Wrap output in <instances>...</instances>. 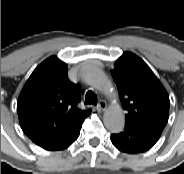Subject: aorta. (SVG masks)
Returning <instances> with one entry per match:
<instances>
[{
	"mask_svg": "<svg viewBox=\"0 0 184 174\" xmlns=\"http://www.w3.org/2000/svg\"><path fill=\"white\" fill-rule=\"evenodd\" d=\"M88 82L93 87L105 92L108 95H115V90L105 73L97 68H92L88 73ZM104 125L108 130L118 133L123 130L125 117L119 105L110 106L103 116Z\"/></svg>",
	"mask_w": 184,
	"mask_h": 174,
	"instance_id": "1",
	"label": "aorta"
}]
</instances>
